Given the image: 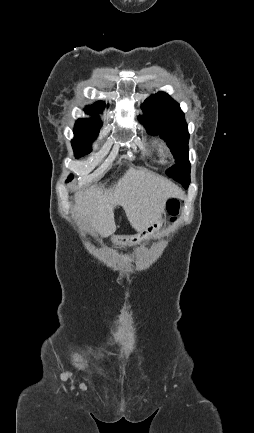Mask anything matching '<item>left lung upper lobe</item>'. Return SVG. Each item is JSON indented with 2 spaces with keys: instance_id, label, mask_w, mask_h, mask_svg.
Here are the masks:
<instances>
[{
  "instance_id": "left-lung-upper-lobe-1",
  "label": "left lung upper lobe",
  "mask_w": 254,
  "mask_h": 433,
  "mask_svg": "<svg viewBox=\"0 0 254 433\" xmlns=\"http://www.w3.org/2000/svg\"><path fill=\"white\" fill-rule=\"evenodd\" d=\"M140 122L149 134H158L164 139L175 157L176 164L166 174L181 183L184 188L190 184V163L188 160V126L180 106L168 94L160 92L150 96L142 105Z\"/></svg>"
}]
</instances>
